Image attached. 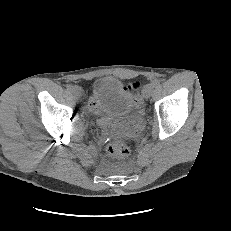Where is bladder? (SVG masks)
Here are the masks:
<instances>
[{
  "mask_svg": "<svg viewBox=\"0 0 231 231\" xmlns=\"http://www.w3.org/2000/svg\"><path fill=\"white\" fill-rule=\"evenodd\" d=\"M92 95L99 108L114 117L126 115L134 103L133 91L111 76L96 79L92 85Z\"/></svg>",
  "mask_w": 231,
  "mask_h": 231,
  "instance_id": "1",
  "label": "bladder"
}]
</instances>
